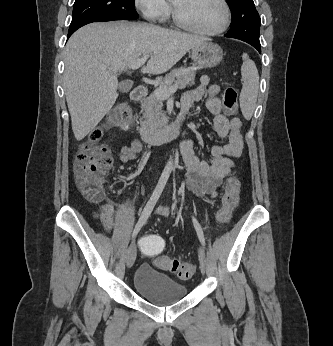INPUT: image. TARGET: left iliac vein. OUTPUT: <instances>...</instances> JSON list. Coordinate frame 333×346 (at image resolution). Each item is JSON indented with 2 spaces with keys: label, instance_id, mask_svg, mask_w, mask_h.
I'll return each mask as SVG.
<instances>
[{
  "label": "left iliac vein",
  "instance_id": "obj_1",
  "mask_svg": "<svg viewBox=\"0 0 333 346\" xmlns=\"http://www.w3.org/2000/svg\"><path fill=\"white\" fill-rule=\"evenodd\" d=\"M198 258H199L200 269L202 273H205L207 269V260H206L205 252L201 247L198 249Z\"/></svg>",
  "mask_w": 333,
  "mask_h": 346
}]
</instances>
